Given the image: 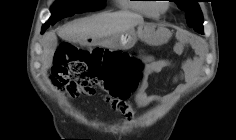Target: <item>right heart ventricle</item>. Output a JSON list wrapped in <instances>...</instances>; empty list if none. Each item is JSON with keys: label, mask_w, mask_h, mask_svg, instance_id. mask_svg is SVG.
Listing matches in <instances>:
<instances>
[{"label": "right heart ventricle", "mask_w": 236, "mask_h": 140, "mask_svg": "<svg viewBox=\"0 0 236 140\" xmlns=\"http://www.w3.org/2000/svg\"><path fill=\"white\" fill-rule=\"evenodd\" d=\"M153 0H120L119 7L124 10H131L146 17H157V5L149 2Z\"/></svg>", "instance_id": "e07e8e85"}]
</instances>
